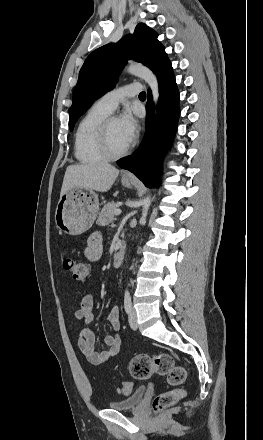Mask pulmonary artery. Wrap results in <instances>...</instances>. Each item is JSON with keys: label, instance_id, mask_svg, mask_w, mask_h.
Returning a JSON list of instances; mask_svg holds the SVG:
<instances>
[{"label": "pulmonary artery", "instance_id": "pulmonary-artery-1", "mask_svg": "<svg viewBox=\"0 0 263 440\" xmlns=\"http://www.w3.org/2000/svg\"><path fill=\"white\" fill-rule=\"evenodd\" d=\"M141 90L142 87L139 83H129L107 92L96 101V104L111 113L116 109L119 102L128 97L138 95Z\"/></svg>", "mask_w": 263, "mask_h": 440}]
</instances>
